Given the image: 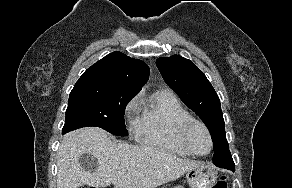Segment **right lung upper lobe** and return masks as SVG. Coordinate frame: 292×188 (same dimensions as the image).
Instances as JSON below:
<instances>
[{
  "label": "right lung upper lobe",
  "mask_w": 292,
  "mask_h": 188,
  "mask_svg": "<svg viewBox=\"0 0 292 188\" xmlns=\"http://www.w3.org/2000/svg\"><path fill=\"white\" fill-rule=\"evenodd\" d=\"M148 77L146 63L116 51L88 68L76 84H101L137 94Z\"/></svg>",
  "instance_id": "obj_1"
}]
</instances>
